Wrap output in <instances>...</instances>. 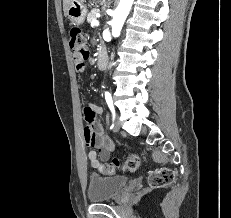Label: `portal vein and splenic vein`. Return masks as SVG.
<instances>
[{
    "mask_svg": "<svg viewBox=\"0 0 231 218\" xmlns=\"http://www.w3.org/2000/svg\"><path fill=\"white\" fill-rule=\"evenodd\" d=\"M99 25V22L97 20H93L91 22V26H98Z\"/></svg>",
    "mask_w": 231,
    "mask_h": 218,
    "instance_id": "1",
    "label": "portal vein and splenic vein"
}]
</instances>
